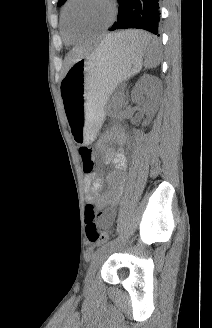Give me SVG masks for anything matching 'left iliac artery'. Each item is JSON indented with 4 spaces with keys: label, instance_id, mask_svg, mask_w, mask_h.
I'll return each mask as SVG.
<instances>
[{
    "label": "left iliac artery",
    "instance_id": "obj_1",
    "mask_svg": "<svg viewBox=\"0 0 212 328\" xmlns=\"http://www.w3.org/2000/svg\"><path fill=\"white\" fill-rule=\"evenodd\" d=\"M118 238H115L109 242H107L106 244H104L103 246H101L100 248H98L91 256V260L93 261L98 254H100L101 252L105 251L107 248L113 246L116 242H117Z\"/></svg>",
    "mask_w": 212,
    "mask_h": 328
}]
</instances>
